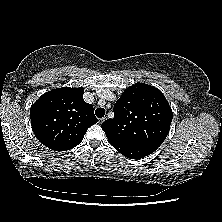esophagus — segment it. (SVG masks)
Instances as JSON below:
<instances>
[{
    "label": "esophagus",
    "mask_w": 222,
    "mask_h": 222,
    "mask_svg": "<svg viewBox=\"0 0 222 222\" xmlns=\"http://www.w3.org/2000/svg\"><path fill=\"white\" fill-rule=\"evenodd\" d=\"M105 119H106L105 117H102V118H99L98 121L101 124V123H103L105 121Z\"/></svg>",
    "instance_id": "obj_1"
}]
</instances>
